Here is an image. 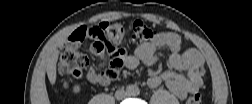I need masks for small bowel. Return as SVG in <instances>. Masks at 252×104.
I'll list each match as a JSON object with an SVG mask.
<instances>
[{
	"label": "small bowel",
	"mask_w": 252,
	"mask_h": 104,
	"mask_svg": "<svg viewBox=\"0 0 252 104\" xmlns=\"http://www.w3.org/2000/svg\"><path fill=\"white\" fill-rule=\"evenodd\" d=\"M160 47L169 48V64L173 71L153 75L147 81L148 86L156 88L164 84L179 99H185L188 94L198 91L203 84L204 59L196 49L183 48L180 36L173 32L160 33L137 47L134 53L122 56V66L128 69H135L140 63L152 66L157 62L156 51ZM91 50L100 56L95 43ZM86 77L91 84L101 86H109L113 81L106 72H97L93 67L88 69Z\"/></svg>",
	"instance_id": "c3829d8e"
}]
</instances>
